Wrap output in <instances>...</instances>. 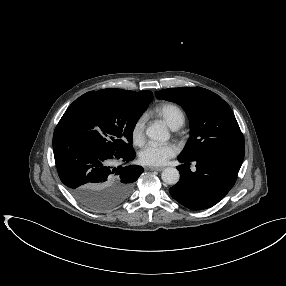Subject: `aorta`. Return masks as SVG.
Segmentation results:
<instances>
[{"instance_id": "aorta-1", "label": "aorta", "mask_w": 286, "mask_h": 286, "mask_svg": "<svg viewBox=\"0 0 286 286\" xmlns=\"http://www.w3.org/2000/svg\"><path fill=\"white\" fill-rule=\"evenodd\" d=\"M146 135L148 138L154 141L165 142L170 138V134L167 128L162 124H152L146 129ZM163 182L168 185H175L180 178L179 171L173 167H167L161 174Z\"/></svg>"}]
</instances>
